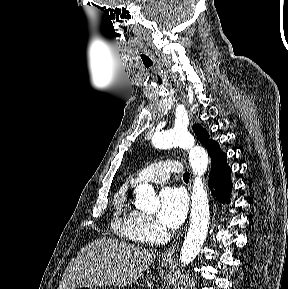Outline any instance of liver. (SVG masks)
<instances>
[{"instance_id": "obj_1", "label": "liver", "mask_w": 288, "mask_h": 289, "mask_svg": "<svg viewBox=\"0 0 288 289\" xmlns=\"http://www.w3.org/2000/svg\"><path fill=\"white\" fill-rule=\"evenodd\" d=\"M156 259V251L102 237L85 246L65 269L58 289L125 287Z\"/></svg>"}]
</instances>
